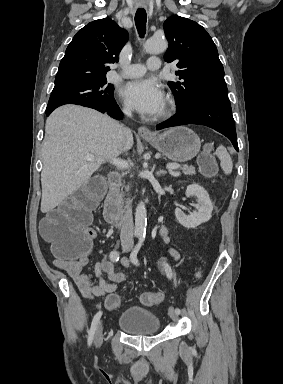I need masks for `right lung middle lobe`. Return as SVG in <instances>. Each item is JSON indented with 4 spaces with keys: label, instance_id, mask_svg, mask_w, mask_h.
<instances>
[{
    "label": "right lung middle lobe",
    "instance_id": "dd1d6c3e",
    "mask_svg": "<svg viewBox=\"0 0 283 384\" xmlns=\"http://www.w3.org/2000/svg\"><path fill=\"white\" fill-rule=\"evenodd\" d=\"M114 86L106 79L54 87L47 107L57 108L63 104H84L113 100Z\"/></svg>",
    "mask_w": 283,
    "mask_h": 384
}]
</instances>
